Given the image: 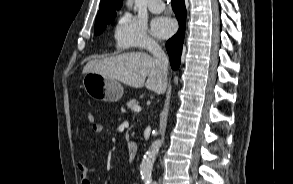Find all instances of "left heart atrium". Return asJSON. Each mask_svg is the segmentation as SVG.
Returning <instances> with one entry per match:
<instances>
[{"mask_svg":"<svg viewBox=\"0 0 293 184\" xmlns=\"http://www.w3.org/2000/svg\"><path fill=\"white\" fill-rule=\"evenodd\" d=\"M175 26L171 19L157 18L152 24L153 33L160 38H167L174 32Z\"/></svg>","mask_w":293,"mask_h":184,"instance_id":"1","label":"left heart atrium"}]
</instances>
